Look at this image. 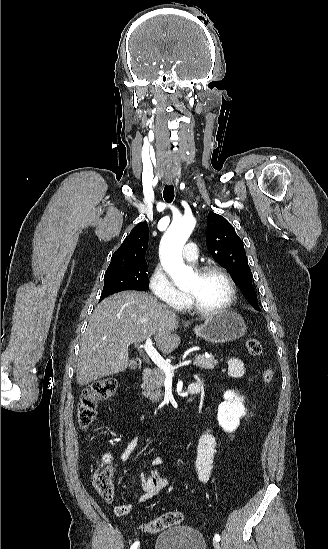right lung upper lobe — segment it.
Returning a JSON list of instances; mask_svg holds the SVG:
<instances>
[{
    "instance_id": "cb5924a9",
    "label": "right lung upper lobe",
    "mask_w": 328,
    "mask_h": 549,
    "mask_svg": "<svg viewBox=\"0 0 328 549\" xmlns=\"http://www.w3.org/2000/svg\"><path fill=\"white\" fill-rule=\"evenodd\" d=\"M149 229L146 222L137 224L126 237L122 245L112 255L107 270L123 267L125 265L146 261L145 252L148 244Z\"/></svg>"
}]
</instances>
